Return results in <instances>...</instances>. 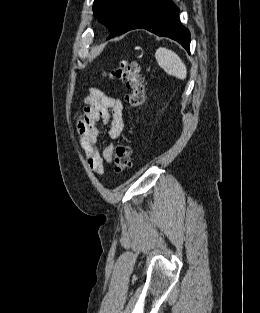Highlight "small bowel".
Instances as JSON below:
<instances>
[{"label": "small bowel", "instance_id": "obj_1", "mask_svg": "<svg viewBox=\"0 0 260 313\" xmlns=\"http://www.w3.org/2000/svg\"><path fill=\"white\" fill-rule=\"evenodd\" d=\"M123 104L120 99L104 94L97 88H90L89 95L84 101V108L77 120V131L85 160L89 169L103 175L105 162H112L114 148L105 147L102 153L97 148L99 131L97 123L104 122L109 126V135L117 139L124 128L122 117Z\"/></svg>", "mask_w": 260, "mask_h": 313}]
</instances>
